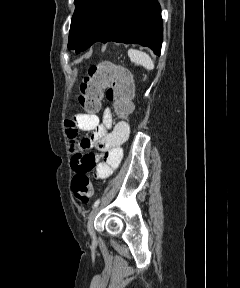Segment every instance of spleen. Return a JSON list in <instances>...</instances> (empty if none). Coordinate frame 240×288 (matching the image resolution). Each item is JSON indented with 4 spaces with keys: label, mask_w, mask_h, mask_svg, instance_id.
<instances>
[{
    "label": "spleen",
    "mask_w": 240,
    "mask_h": 288,
    "mask_svg": "<svg viewBox=\"0 0 240 288\" xmlns=\"http://www.w3.org/2000/svg\"><path fill=\"white\" fill-rule=\"evenodd\" d=\"M128 56L130 57L131 61L139 65H142L146 69L148 70L154 69V62L147 53L135 49H130L128 51Z\"/></svg>",
    "instance_id": "3e777b00"
}]
</instances>
